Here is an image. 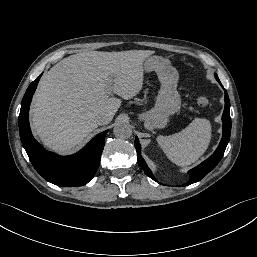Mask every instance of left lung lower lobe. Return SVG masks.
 I'll use <instances>...</instances> for the list:
<instances>
[{"instance_id": "1", "label": "left lung lower lobe", "mask_w": 257, "mask_h": 257, "mask_svg": "<svg viewBox=\"0 0 257 257\" xmlns=\"http://www.w3.org/2000/svg\"><path fill=\"white\" fill-rule=\"evenodd\" d=\"M224 100H225V108L222 115L223 137L221 139V142L212 156H210L203 163H201L200 165H198L197 167L189 171L190 179L186 184L182 186L190 185L200 181L206 174H208L219 163V161L224 155V151L229 142L230 132H231L230 101L226 90H225ZM135 148L137 151V159H138L139 165L150 178H152L154 181H157L141 156V146L139 144L138 138L135 139Z\"/></svg>"}]
</instances>
